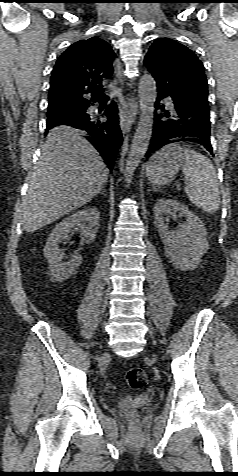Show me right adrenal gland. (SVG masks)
<instances>
[{
	"mask_svg": "<svg viewBox=\"0 0 238 476\" xmlns=\"http://www.w3.org/2000/svg\"><path fill=\"white\" fill-rule=\"evenodd\" d=\"M105 192H106L105 187H103L99 193H105Z\"/></svg>",
	"mask_w": 238,
	"mask_h": 476,
	"instance_id": "1",
	"label": "right adrenal gland"
}]
</instances>
